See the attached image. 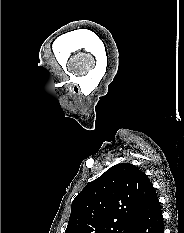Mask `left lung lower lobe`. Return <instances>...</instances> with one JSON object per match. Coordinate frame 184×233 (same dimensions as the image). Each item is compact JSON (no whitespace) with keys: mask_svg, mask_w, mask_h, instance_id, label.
<instances>
[{"mask_svg":"<svg viewBox=\"0 0 184 233\" xmlns=\"http://www.w3.org/2000/svg\"><path fill=\"white\" fill-rule=\"evenodd\" d=\"M131 233H164L163 216L155 191L151 194Z\"/></svg>","mask_w":184,"mask_h":233,"instance_id":"obj_1","label":"left lung lower lobe"}]
</instances>
